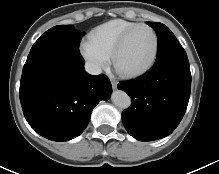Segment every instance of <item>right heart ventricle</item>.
<instances>
[{
    "label": "right heart ventricle",
    "mask_w": 219,
    "mask_h": 174,
    "mask_svg": "<svg viewBox=\"0 0 219 174\" xmlns=\"http://www.w3.org/2000/svg\"><path fill=\"white\" fill-rule=\"evenodd\" d=\"M138 24L140 23L125 19H113L95 27L88 37L110 57L121 37Z\"/></svg>",
    "instance_id": "obj_1"
}]
</instances>
